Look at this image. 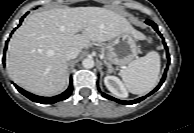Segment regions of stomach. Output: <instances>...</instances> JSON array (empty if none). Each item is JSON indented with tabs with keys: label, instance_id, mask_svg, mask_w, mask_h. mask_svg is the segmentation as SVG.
I'll return each mask as SVG.
<instances>
[{
	"label": "stomach",
	"instance_id": "obj_1",
	"mask_svg": "<svg viewBox=\"0 0 194 133\" xmlns=\"http://www.w3.org/2000/svg\"><path fill=\"white\" fill-rule=\"evenodd\" d=\"M134 38L131 33L126 32L109 41L102 49L105 59L114 65L129 64L138 53Z\"/></svg>",
	"mask_w": 194,
	"mask_h": 133
}]
</instances>
